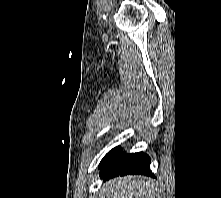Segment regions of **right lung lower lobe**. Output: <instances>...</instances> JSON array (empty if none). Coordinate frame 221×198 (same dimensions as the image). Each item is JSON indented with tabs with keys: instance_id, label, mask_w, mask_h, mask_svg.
<instances>
[{
	"instance_id": "1",
	"label": "right lung lower lobe",
	"mask_w": 221,
	"mask_h": 198,
	"mask_svg": "<svg viewBox=\"0 0 221 198\" xmlns=\"http://www.w3.org/2000/svg\"><path fill=\"white\" fill-rule=\"evenodd\" d=\"M150 157L143 152L126 154L122 151L108 163L100 167V176L105 179L127 174L154 177L150 170Z\"/></svg>"
}]
</instances>
